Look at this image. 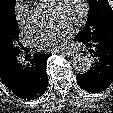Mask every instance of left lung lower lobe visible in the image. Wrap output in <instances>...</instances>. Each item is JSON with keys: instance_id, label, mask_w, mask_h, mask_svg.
<instances>
[{"instance_id": "obj_1", "label": "left lung lower lobe", "mask_w": 113, "mask_h": 113, "mask_svg": "<svg viewBox=\"0 0 113 113\" xmlns=\"http://www.w3.org/2000/svg\"><path fill=\"white\" fill-rule=\"evenodd\" d=\"M77 41L82 42L94 62L91 69L77 74V83L85 91L97 93L105 90L113 82V36H86L79 33Z\"/></svg>"}]
</instances>
